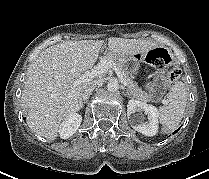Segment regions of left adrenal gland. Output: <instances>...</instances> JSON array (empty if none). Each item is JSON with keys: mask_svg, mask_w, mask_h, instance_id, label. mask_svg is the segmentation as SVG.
<instances>
[{"mask_svg": "<svg viewBox=\"0 0 209 179\" xmlns=\"http://www.w3.org/2000/svg\"><path fill=\"white\" fill-rule=\"evenodd\" d=\"M125 96L132 98L131 95L128 93V91L126 92Z\"/></svg>", "mask_w": 209, "mask_h": 179, "instance_id": "a2214340", "label": "left adrenal gland"}]
</instances>
